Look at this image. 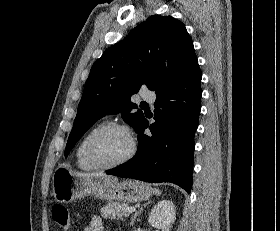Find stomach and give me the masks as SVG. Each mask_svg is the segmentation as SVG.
<instances>
[{"label":"stomach","mask_w":280,"mask_h":231,"mask_svg":"<svg viewBox=\"0 0 280 231\" xmlns=\"http://www.w3.org/2000/svg\"><path fill=\"white\" fill-rule=\"evenodd\" d=\"M52 191L56 201L69 203L85 195H95L107 201H144L152 195L151 187L140 181H114V179H93L76 175L75 171L60 165L52 175Z\"/></svg>","instance_id":"0dacf381"}]
</instances>
